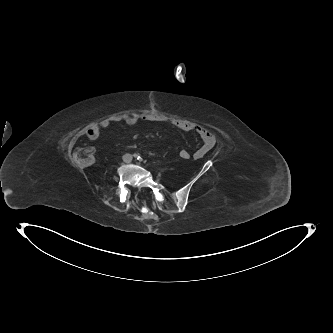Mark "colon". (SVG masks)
<instances>
[{
  "label": "colon",
  "mask_w": 333,
  "mask_h": 333,
  "mask_svg": "<svg viewBox=\"0 0 333 333\" xmlns=\"http://www.w3.org/2000/svg\"><path fill=\"white\" fill-rule=\"evenodd\" d=\"M178 158L188 160L191 157L190 151L181 148L178 151ZM74 162L81 167L90 166L94 162V150L88 147L77 148L73 153Z\"/></svg>",
  "instance_id": "5ec220e1"
}]
</instances>
